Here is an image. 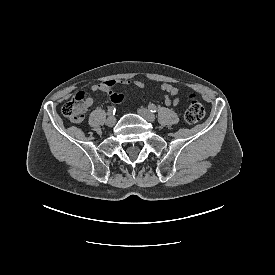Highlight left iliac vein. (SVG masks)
I'll return each mask as SVG.
<instances>
[{
	"instance_id": "4c4485c4",
	"label": "left iliac vein",
	"mask_w": 275,
	"mask_h": 275,
	"mask_svg": "<svg viewBox=\"0 0 275 275\" xmlns=\"http://www.w3.org/2000/svg\"><path fill=\"white\" fill-rule=\"evenodd\" d=\"M138 113L140 116H142L143 118H145L146 120H148L150 122L155 121L154 115L148 109L140 108V109H138Z\"/></svg>"
}]
</instances>
